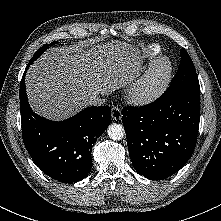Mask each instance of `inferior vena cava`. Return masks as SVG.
Returning <instances> with one entry per match:
<instances>
[{
    "label": "inferior vena cava",
    "mask_w": 221,
    "mask_h": 221,
    "mask_svg": "<svg viewBox=\"0 0 221 221\" xmlns=\"http://www.w3.org/2000/svg\"><path fill=\"white\" fill-rule=\"evenodd\" d=\"M106 99L100 98L98 95L89 96L86 99V103L90 106H98L104 104Z\"/></svg>",
    "instance_id": "obj_1"
}]
</instances>
